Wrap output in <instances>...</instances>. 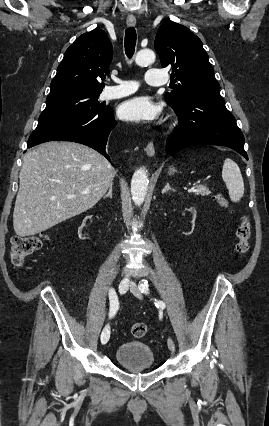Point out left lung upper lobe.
I'll use <instances>...</instances> for the list:
<instances>
[{"label": "left lung upper lobe", "instance_id": "obj_1", "mask_svg": "<svg viewBox=\"0 0 269 426\" xmlns=\"http://www.w3.org/2000/svg\"><path fill=\"white\" fill-rule=\"evenodd\" d=\"M162 67L172 70L171 77L179 81L165 100L172 108L182 105L198 93H219L220 85L201 40L188 28L167 21L158 31L154 43Z\"/></svg>", "mask_w": 269, "mask_h": 426}]
</instances>
